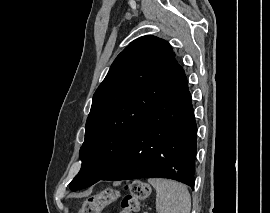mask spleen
Returning <instances> with one entry per match:
<instances>
[{
	"label": "spleen",
	"instance_id": "3e777b00",
	"mask_svg": "<svg viewBox=\"0 0 270 213\" xmlns=\"http://www.w3.org/2000/svg\"><path fill=\"white\" fill-rule=\"evenodd\" d=\"M156 190L157 213H190L191 198L183 184L163 178H149Z\"/></svg>",
	"mask_w": 270,
	"mask_h": 213
}]
</instances>
